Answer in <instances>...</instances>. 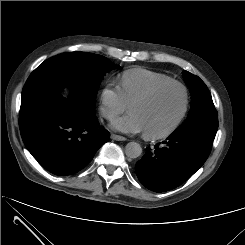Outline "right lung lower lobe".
I'll use <instances>...</instances> for the list:
<instances>
[{
  "label": "right lung lower lobe",
  "instance_id": "obj_1",
  "mask_svg": "<svg viewBox=\"0 0 245 245\" xmlns=\"http://www.w3.org/2000/svg\"><path fill=\"white\" fill-rule=\"evenodd\" d=\"M23 142L33 157L55 175H71L93 158L109 140L94 113L77 114L68 102L19 119Z\"/></svg>",
  "mask_w": 245,
  "mask_h": 245
}]
</instances>
